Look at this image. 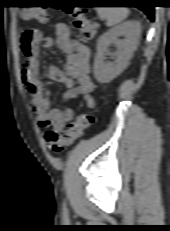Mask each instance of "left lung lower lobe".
Segmentation results:
<instances>
[{"instance_id":"1","label":"left lung lower lobe","mask_w":170,"mask_h":231,"mask_svg":"<svg viewBox=\"0 0 170 231\" xmlns=\"http://www.w3.org/2000/svg\"><path fill=\"white\" fill-rule=\"evenodd\" d=\"M130 3L136 4L134 7L141 9L151 21H154V6L151 0H132Z\"/></svg>"}]
</instances>
